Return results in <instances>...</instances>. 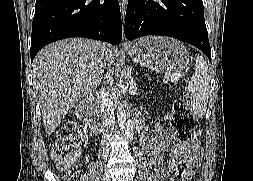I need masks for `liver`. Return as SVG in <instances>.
Returning a JSON list of instances; mask_svg holds the SVG:
<instances>
[{
  "label": "liver",
  "instance_id": "6515ba94",
  "mask_svg": "<svg viewBox=\"0 0 253 181\" xmlns=\"http://www.w3.org/2000/svg\"><path fill=\"white\" fill-rule=\"evenodd\" d=\"M116 50L84 38L57 41L44 47L33 62V86L39 98L43 124L52 134L71 108L99 85L106 62Z\"/></svg>",
  "mask_w": 253,
  "mask_h": 181
}]
</instances>
